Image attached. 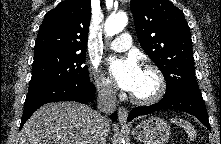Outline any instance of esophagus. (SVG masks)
<instances>
[{
  "label": "esophagus",
  "instance_id": "esophagus-1",
  "mask_svg": "<svg viewBox=\"0 0 221 144\" xmlns=\"http://www.w3.org/2000/svg\"><path fill=\"white\" fill-rule=\"evenodd\" d=\"M127 117H128V111L124 107H119L118 109V118L120 123L126 124L127 122Z\"/></svg>",
  "mask_w": 221,
  "mask_h": 144
}]
</instances>
